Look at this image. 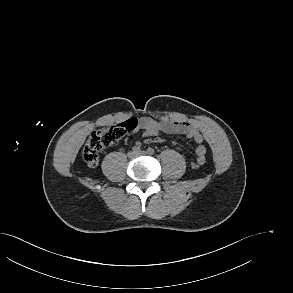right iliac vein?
<instances>
[{
  "label": "right iliac vein",
  "instance_id": "right-iliac-vein-1",
  "mask_svg": "<svg viewBox=\"0 0 293 293\" xmlns=\"http://www.w3.org/2000/svg\"><path fill=\"white\" fill-rule=\"evenodd\" d=\"M136 155H137V153L134 152V151H130V152L128 153V157H129V158H134Z\"/></svg>",
  "mask_w": 293,
  "mask_h": 293
}]
</instances>
